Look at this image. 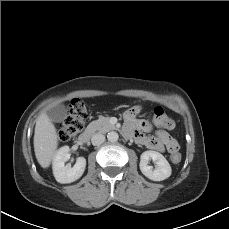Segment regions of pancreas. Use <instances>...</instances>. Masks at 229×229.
Listing matches in <instances>:
<instances>
[{
  "mask_svg": "<svg viewBox=\"0 0 229 229\" xmlns=\"http://www.w3.org/2000/svg\"><path fill=\"white\" fill-rule=\"evenodd\" d=\"M113 129H115V126L109 122V117L103 116L98 120L92 121L87 127V131L92 133L96 131L99 133H106Z\"/></svg>",
  "mask_w": 229,
  "mask_h": 229,
  "instance_id": "cf45deb5",
  "label": "pancreas"
}]
</instances>
